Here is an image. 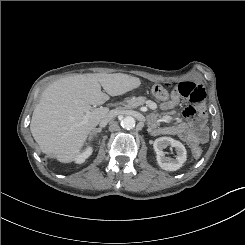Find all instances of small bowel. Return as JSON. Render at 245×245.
<instances>
[{"label":"small bowel","mask_w":245,"mask_h":245,"mask_svg":"<svg viewBox=\"0 0 245 245\" xmlns=\"http://www.w3.org/2000/svg\"><path fill=\"white\" fill-rule=\"evenodd\" d=\"M166 91L173 90L171 99L162 105L163 110L173 109L181 97L187 98L192 104L182 112V121L172 126H158L155 118H151V128L155 135H174L186 142L189 146L203 144L208 139L207 111L202 105L206 98V91L199 81H184L177 84L169 81L164 84ZM191 117L193 121L187 122Z\"/></svg>","instance_id":"small-bowel-1"}]
</instances>
